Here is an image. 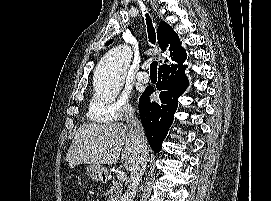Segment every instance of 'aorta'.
I'll return each mask as SVG.
<instances>
[{"mask_svg": "<svg viewBox=\"0 0 271 201\" xmlns=\"http://www.w3.org/2000/svg\"><path fill=\"white\" fill-rule=\"evenodd\" d=\"M131 57L132 52L127 45L114 47L103 56L95 70L98 94L114 96L120 92Z\"/></svg>", "mask_w": 271, "mask_h": 201, "instance_id": "762f6f07", "label": "aorta"}]
</instances>
